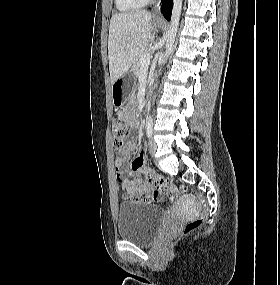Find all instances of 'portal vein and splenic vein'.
Returning a JSON list of instances; mask_svg holds the SVG:
<instances>
[{
	"label": "portal vein and splenic vein",
	"mask_w": 280,
	"mask_h": 285,
	"mask_svg": "<svg viewBox=\"0 0 280 285\" xmlns=\"http://www.w3.org/2000/svg\"><path fill=\"white\" fill-rule=\"evenodd\" d=\"M150 59H151L150 55L142 56L140 58L141 66H148L150 64Z\"/></svg>",
	"instance_id": "portal-vein-and-splenic-vein-1"
}]
</instances>
